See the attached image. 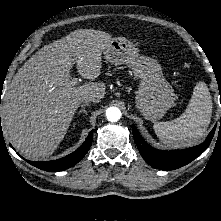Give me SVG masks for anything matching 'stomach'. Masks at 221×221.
I'll use <instances>...</instances> for the list:
<instances>
[{"mask_svg":"<svg viewBox=\"0 0 221 221\" xmlns=\"http://www.w3.org/2000/svg\"><path fill=\"white\" fill-rule=\"evenodd\" d=\"M103 54L106 62L127 64L135 77L140 79L135 92V106L145 119L156 122L176 105L177 96L163 76L159 62L141 55L133 42L124 37L115 38Z\"/></svg>","mask_w":221,"mask_h":221,"instance_id":"stomach-1","label":"stomach"}]
</instances>
